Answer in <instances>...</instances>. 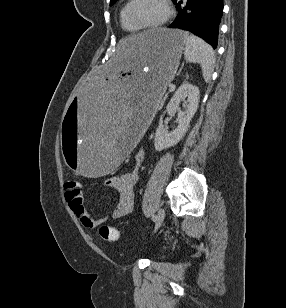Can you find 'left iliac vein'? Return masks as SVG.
Returning a JSON list of instances; mask_svg holds the SVG:
<instances>
[{"label":"left iliac vein","mask_w":286,"mask_h":308,"mask_svg":"<svg viewBox=\"0 0 286 308\" xmlns=\"http://www.w3.org/2000/svg\"><path fill=\"white\" fill-rule=\"evenodd\" d=\"M165 217V211L163 208H160L158 210L157 216H156V225H155V232L158 230V228L161 226L163 220Z\"/></svg>","instance_id":"1"}]
</instances>
